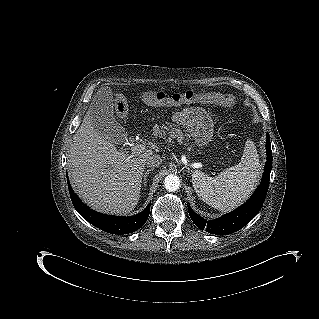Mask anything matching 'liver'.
I'll list each match as a JSON object with an SVG mask.
<instances>
[{
	"label": "liver",
	"instance_id": "obj_1",
	"mask_svg": "<svg viewBox=\"0 0 319 319\" xmlns=\"http://www.w3.org/2000/svg\"><path fill=\"white\" fill-rule=\"evenodd\" d=\"M115 144V137L96 131L89 108L73 136L68 171L73 189L88 206L123 215L138 203L146 160L153 151L127 154L118 151Z\"/></svg>",
	"mask_w": 319,
	"mask_h": 319
}]
</instances>
